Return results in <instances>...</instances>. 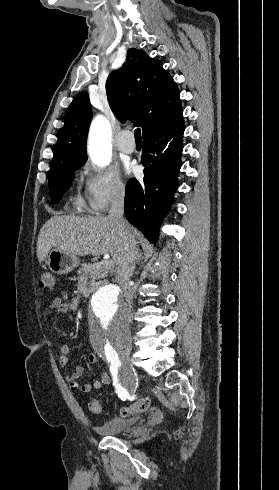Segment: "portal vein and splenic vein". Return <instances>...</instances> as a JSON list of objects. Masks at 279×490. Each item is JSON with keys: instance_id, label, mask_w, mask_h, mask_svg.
<instances>
[{"instance_id": "obj_1", "label": "portal vein and splenic vein", "mask_w": 279, "mask_h": 490, "mask_svg": "<svg viewBox=\"0 0 279 490\" xmlns=\"http://www.w3.org/2000/svg\"><path fill=\"white\" fill-rule=\"evenodd\" d=\"M110 256H108V254H106V256H104V260L105 262H107V266H113L112 262H108ZM101 264H104V262H101Z\"/></svg>"}]
</instances>
